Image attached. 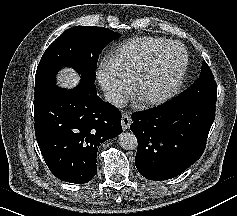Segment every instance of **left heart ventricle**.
Masks as SVG:
<instances>
[{
  "mask_svg": "<svg viewBox=\"0 0 237 216\" xmlns=\"http://www.w3.org/2000/svg\"><path fill=\"white\" fill-rule=\"evenodd\" d=\"M183 58L181 53L157 61L141 82L139 94L142 97H155L165 91L177 78Z\"/></svg>",
  "mask_w": 237,
  "mask_h": 216,
  "instance_id": "obj_1",
  "label": "left heart ventricle"
}]
</instances>
